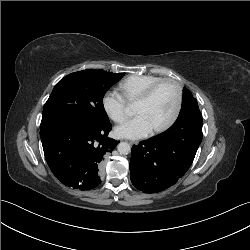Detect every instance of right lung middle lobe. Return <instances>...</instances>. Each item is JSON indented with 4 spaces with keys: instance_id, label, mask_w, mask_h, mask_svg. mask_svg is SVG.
Masks as SVG:
<instances>
[{
    "instance_id": "right-lung-middle-lobe-1",
    "label": "right lung middle lobe",
    "mask_w": 250,
    "mask_h": 250,
    "mask_svg": "<svg viewBox=\"0 0 250 250\" xmlns=\"http://www.w3.org/2000/svg\"><path fill=\"white\" fill-rule=\"evenodd\" d=\"M123 74L83 70L65 76L56 84L44 105L40 128L55 122L94 126L109 123L103 97Z\"/></svg>"
}]
</instances>
